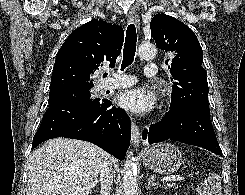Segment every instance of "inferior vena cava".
<instances>
[{
    "instance_id": "obj_1",
    "label": "inferior vena cava",
    "mask_w": 245,
    "mask_h": 195,
    "mask_svg": "<svg viewBox=\"0 0 245 195\" xmlns=\"http://www.w3.org/2000/svg\"><path fill=\"white\" fill-rule=\"evenodd\" d=\"M99 181L101 184V195H110L111 185L113 183V173L109 159H107L102 165Z\"/></svg>"
}]
</instances>
